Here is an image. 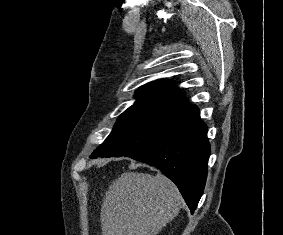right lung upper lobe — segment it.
I'll return each mask as SVG.
<instances>
[{
	"label": "right lung upper lobe",
	"mask_w": 283,
	"mask_h": 235,
	"mask_svg": "<svg viewBox=\"0 0 283 235\" xmlns=\"http://www.w3.org/2000/svg\"><path fill=\"white\" fill-rule=\"evenodd\" d=\"M141 102H170L190 105L185 96L169 82L154 81L141 86L135 95Z\"/></svg>",
	"instance_id": "obj_1"
}]
</instances>
